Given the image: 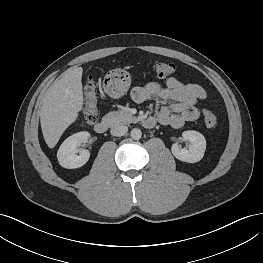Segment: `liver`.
I'll return each mask as SVG.
<instances>
[{
    "label": "liver",
    "mask_w": 263,
    "mask_h": 263,
    "mask_svg": "<svg viewBox=\"0 0 263 263\" xmlns=\"http://www.w3.org/2000/svg\"><path fill=\"white\" fill-rule=\"evenodd\" d=\"M82 73V67L69 68L50 86L42 99L41 129L49 148L56 146L83 108Z\"/></svg>",
    "instance_id": "obj_1"
}]
</instances>
